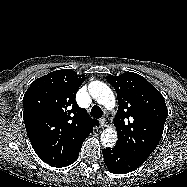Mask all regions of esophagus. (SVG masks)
Here are the masks:
<instances>
[{
	"label": "esophagus",
	"mask_w": 187,
	"mask_h": 187,
	"mask_svg": "<svg viewBox=\"0 0 187 187\" xmlns=\"http://www.w3.org/2000/svg\"><path fill=\"white\" fill-rule=\"evenodd\" d=\"M100 126H101L102 128H104V127L107 126V121H106L105 118L100 119Z\"/></svg>",
	"instance_id": "esophagus-1"
}]
</instances>
